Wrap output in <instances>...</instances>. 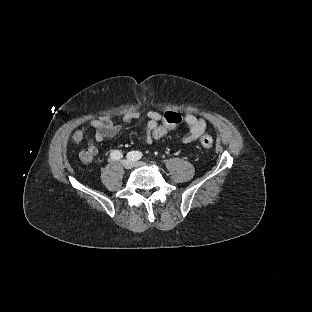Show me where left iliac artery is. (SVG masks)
Masks as SVG:
<instances>
[{"mask_svg":"<svg viewBox=\"0 0 312 312\" xmlns=\"http://www.w3.org/2000/svg\"><path fill=\"white\" fill-rule=\"evenodd\" d=\"M142 157V153L139 151H132L128 153V158L135 161Z\"/></svg>","mask_w":312,"mask_h":312,"instance_id":"obj_1","label":"left iliac artery"}]
</instances>
